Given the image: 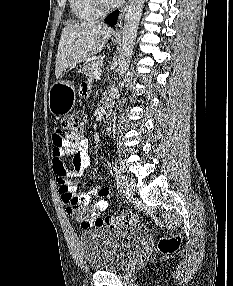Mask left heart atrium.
Here are the masks:
<instances>
[{
  "mask_svg": "<svg viewBox=\"0 0 233 286\" xmlns=\"http://www.w3.org/2000/svg\"><path fill=\"white\" fill-rule=\"evenodd\" d=\"M114 2H116V3H119L121 0H113Z\"/></svg>",
  "mask_w": 233,
  "mask_h": 286,
  "instance_id": "obj_1",
  "label": "left heart atrium"
}]
</instances>
